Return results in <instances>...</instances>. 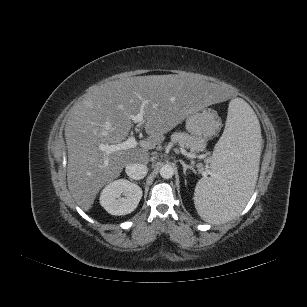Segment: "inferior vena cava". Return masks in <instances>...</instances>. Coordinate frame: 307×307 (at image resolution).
I'll list each match as a JSON object with an SVG mask.
<instances>
[{
  "instance_id": "inferior-vena-cava-1",
  "label": "inferior vena cava",
  "mask_w": 307,
  "mask_h": 307,
  "mask_svg": "<svg viewBox=\"0 0 307 307\" xmlns=\"http://www.w3.org/2000/svg\"><path fill=\"white\" fill-rule=\"evenodd\" d=\"M125 171L130 178L140 180L146 176L148 168L142 163H130L126 166Z\"/></svg>"
}]
</instances>
